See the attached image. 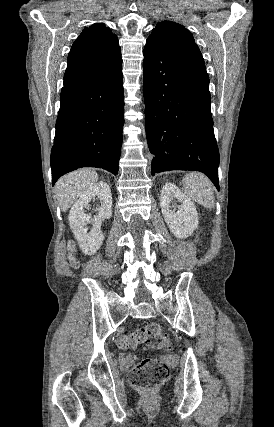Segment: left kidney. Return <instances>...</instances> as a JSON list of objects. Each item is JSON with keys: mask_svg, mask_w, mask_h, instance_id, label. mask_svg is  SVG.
Instances as JSON below:
<instances>
[{"mask_svg": "<svg viewBox=\"0 0 274 427\" xmlns=\"http://www.w3.org/2000/svg\"><path fill=\"white\" fill-rule=\"evenodd\" d=\"M171 202H180L181 206H170ZM160 208L176 237H188L198 227V214L193 202L171 182H167L161 190ZM172 208H178L177 212Z\"/></svg>", "mask_w": 274, "mask_h": 427, "instance_id": "5707ae66", "label": "left kidney"}]
</instances>
